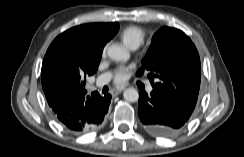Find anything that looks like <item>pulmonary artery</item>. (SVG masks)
<instances>
[{
  "mask_svg": "<svg viewBox=\"0 0 244 157\" xmlns=\"http://www.w3.org/2000/svg\"><path fill=\"white\" fill-rule=\"evenodd\" d=\"M131 49H136V48L133 47ZM109 78H110V75L108 73L101 75L98 78V80L96 81V86L101 87V86L105 85L108 82ZM147 90L149 92L152 91V86H148Z\"/></svg>",
  "mask_w": 244,
  "mask_h": 157,
  "instance_id": "pulmonary-artery-1",
  "label": "pulmonary artery"
}]
</instances>
